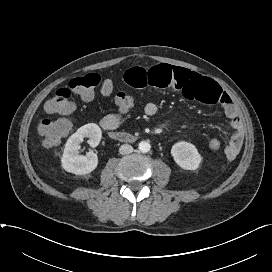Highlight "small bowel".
<instances>
[{
  "label": "small bowel",
  "mask_w": 272,
  "mask_h": 272,
  "mask_svg": "<svg viewBox=\"0 0 272 272\" xmlns=\"http://www.w3.org/2000/svg\"><path fill=\"white\" fill-rule=\"evenodd\" d=\"M124 79L129 86L136 89L174 88L188 100L220 104L230 120L233 131L224 153L229 160L237 157L243 144L245 125L231 97L216 82L185 68L167 64H159L147 69L132 68L125 73ZM144 112L148 116H153L157 112V106L149 102L145 104ZM122 114L120 112L105 115L100 121L102 128L105 130L118 128Z\"/></svg>",
  "instance_id": "c3829d8e"
}]
</instances>
